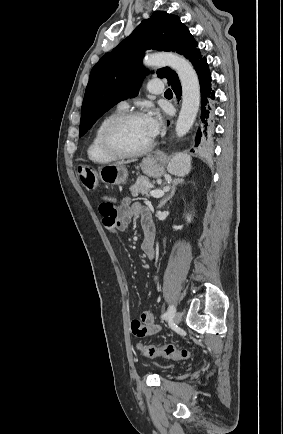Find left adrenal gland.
I'll return each instance as SVG.
<instances>
[{
	"label": "left adrenal gland",
	"instance_id": "obj_1",
	"mask_svg": "<svg viewBox=\"0 0 283 434\" xmlns=\"http://www.w3.org/2000/svg\"><path fill=\"white\" fill-rule=\"evenodd\" d=\"M183 180L182 179H174L172 181V189L170 192V195L166 198H164L160 204L158 205V208L161 209L163 206H165V204L174 196L175 192H176V188L179 184H182Z\"/></svg>",
	"mask_w": 283,
	"mask_h": 434
}]
</instances>
